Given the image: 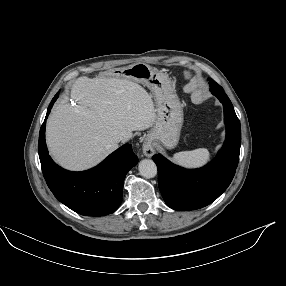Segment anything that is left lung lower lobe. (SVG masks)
<instances>
[{
    "label": "left lung lower lobe",
    "mask_w": 286,
    "mask_h": 286,
    "mask_svg": "<svg viewBox=\"0 0 286 286\" xmlns=\"http://www.w3.org/2000/svg\"><path fill=\"white\" fill-rule=\"evenodd\" d=\"M224 106L226 140L215 159L199 169H184L162 155L152 157L158 168V184L166 204L179 211L205 207L231 183L239 161L240 122L227 95L217 97Z\"/></svg>",
    "instance_id": "left-lung-lower-lobe-1"
}]
</instances>
